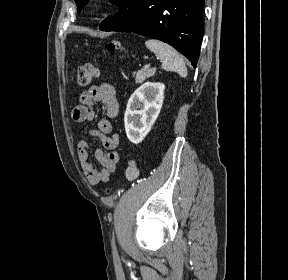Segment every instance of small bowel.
<instances>
[{
	"instance_id": "1",
	"label": "small bowel",
	"mask_w": 288,
	"mask_h": 280,
	"mask_svg": "<svg viewBox=\"0 0 288 280\" xmlns=\"http://www.w3.org/2000/svg\"><path fill=\"white\" fill-rule=\"evenodd\" d=\"M97 102L101 104L104 116L99 119L97 128L90 131V135L98 137L103 146L94 152L96 160L101 165L100 169L96 168L90 161L88 143L85 140L78 143V159L91 185L108 182L119 161V154L116 151L119 136L113 133L111 123V120L118 114L119 105L116 90L112 85L101 83L83 91L79 97V105L72 110V119L76 123L92 121L95 118L93 104Z\"/></svg>"
}]
</instances>
